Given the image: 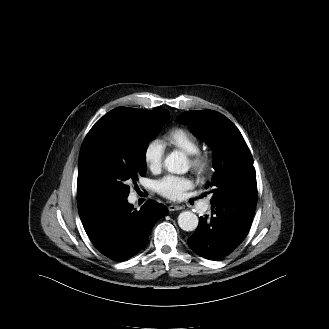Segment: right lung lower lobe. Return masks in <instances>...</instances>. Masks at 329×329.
Returning <instances> with one entry per match:
<instances>
[{
    "mask_svg": "<svg viewBox=\"0 0 329 329\" xmlns=\"http://www.w3.org/2000/svg\"><path fill=\"white\" fill-rule=\"evenodd\" d=\"M153 200L134 211L127 197L97 196L80 205L83 227L96 248L105 256L125 261L142 250L153 225L167 214Z\"/></svg>",
    "mask_w": 329,
    "mask_h": 329,
    "instance_id": "right-lung-lower-lobe-1",
    "label": "right lung lower lobe"
}]
</instances>
